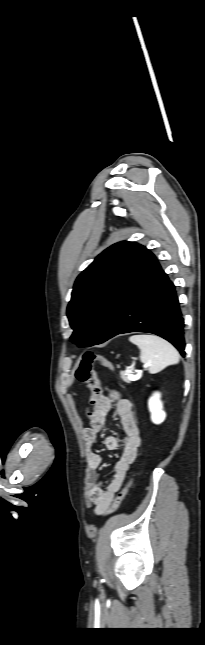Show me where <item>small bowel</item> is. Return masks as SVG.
Here are the masks:
<instances>
[{
	"mask_svg": "<svg viewBox=\"0 0 205 645\" xmlns=\"http://www.w3.org/2000/svg\"><path fill=\"white\" fill-rule=\"evenodd\" d=\"M113 406L120 417L124 431L123 448L120 459L114 466L112 477L106 482L97 474L102 457L93 450V446L97 441L98 434L104 428L107 415ZM82 436L86 449L88 501L95 506L96 514H103L110 507L116 493L122 488L141 445L140 430L133 414L131 402L120 396L115 390L106 388L93 406L90 426L83 430ZM104 444L108 450L115 451L120 447V440L115 436H108L105 438Z\"/></svg>",
	"mask_w": 205,
	"mask_h": 645,
	"instance_id": "1",
	"label": "small bowel"
}]
</instances>
